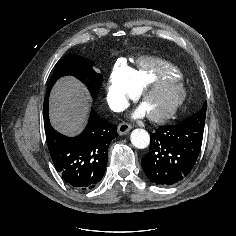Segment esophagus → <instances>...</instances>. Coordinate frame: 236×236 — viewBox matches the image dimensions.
<instances>
[{
    "label": "esophagus",
    "mask_w": 236,
    "mask_h": 236,
    "mask_svg": "<svg viewBox=\"0 0 236 236\" xmlns=\"http://www.w3.org/2000/svg\"><path fill=\"white\" fill-rule=\"evenodd\" d=\"M132 126L126 122L119 124L118 133L119 135L127 134L131 130Z\"/></svg>",
    "instance_id": "34e87169"
}]
</instances>
